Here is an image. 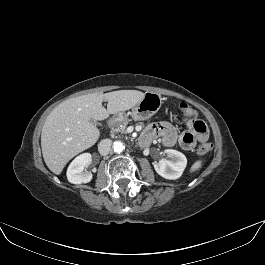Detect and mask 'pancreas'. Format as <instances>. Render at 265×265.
Masks as SVG:
<instances>
[{"label": "pancreas", "mask_w": 265, "mask_h": 265, "mask_svg": "<svg viewBox=\"0 0 265 265\" xmlns=\"http://www.w3.org/2000/svg\"><path fill=\"white\" fill-rule=\"evenodd\" d=\"M127 125H128V120L126 119L121 122H117L112 128V133L125 134Z\"/></svg>", "instance_id": "1"}]
</instances>
